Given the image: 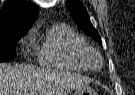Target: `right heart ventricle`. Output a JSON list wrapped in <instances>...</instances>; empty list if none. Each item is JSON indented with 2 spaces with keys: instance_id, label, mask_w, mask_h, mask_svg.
<instances>
[{
  "instance_id": "obj_1",
  "label": "right heart ventricle",
  "mask_w": 135,
  "mask_h": 95,
  "mask_svg": "<svg viewBox=\"0 0 135 95\" xmlns=\"http://www.w3.org/2000/svg\"><path fill=\"white\" fill-rule=\"evenodd\" d=\"M38 33L34 29L32 36ZM90 47L69 25L57 23L50 26L37 47V56L42 66L83 72L89 69L86 53Z\"/></svg>"
}]
</instances>
